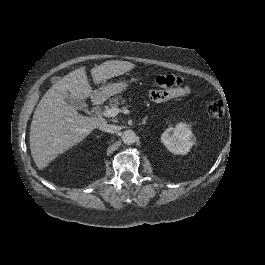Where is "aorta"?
I'll list each match as a JSON object with an SVG mask.
<instances>
[{"label":"aorta","mask_w":265,"mask_h":265,"mask_svg":"<svg viewBox=\"0 0 265 265\" xmlns=\"http://www.w3.org/2000/svg\"><path fill=\"white\" fill-rule=\"evenodd\" d=\"M122 140L125 144L131 145L136 141V134L133 130H126L122 134Z\"/></svg>","instance_id":"762f6f07"}]
</instances>
